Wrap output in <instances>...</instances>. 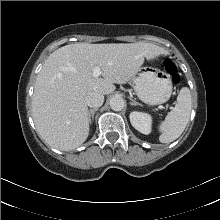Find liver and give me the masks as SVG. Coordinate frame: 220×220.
Segmentation results:
<instances>
[{"label":"liver","instance_id":"liver-1","mask_svg":"<svg viewBox=\"0 0 220 220\" xmlns=\"http://www.w3.org/2000/svg\"><path fill=\"white\" fill-rule=\"evenodd\" d=\"M168 52L151 43L89 44L63 46L46 59L32 96V117L41 138L51 147L69 151L82 145L89 135L86 95L115 91L144 62ZM99 67L102 77H93Z\"/></svg>","mask_w":220,"mask_h":220}]
</instances>
